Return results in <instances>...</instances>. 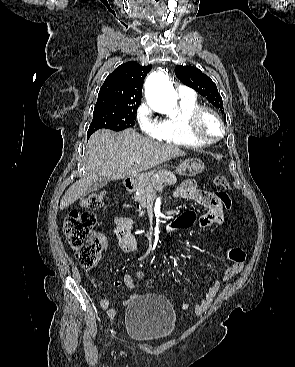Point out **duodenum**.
I'll return each mask as SVG.
<instances>
[{"label":"duodenum","instance_id":"obj_1","mask_svg":"<svg viewBox=\"0 0 295 367\" xmlns=\"http://www.w3.org/2000/svg\"><path fill=\"white\" fill-rule=\"evenodd\" d=\"M136 179L134 177H128L124 181L125 188L127 190H132L135 186Z\"/></svg>","mask_w":295,"mask_h":367}]
</instances>
